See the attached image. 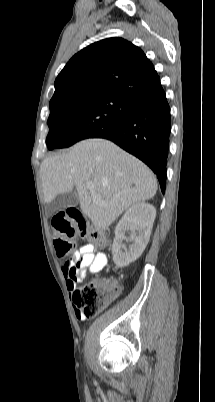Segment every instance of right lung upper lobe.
Returning <instances> with one entry per match:
<instances>
[{"instance_id":"right-lung-upper-lobe-1","label":"right lung upper lobe","mask_w":215,"mask_h":402,"mask_svg":"<svg viewBox=\"0 0 215 402\" xmlns=\"http://www.w3.org/2000/svg\"><path fill=\"white\" fill-rule=\"evenodd\" d=\"M144 52L122 38L93 43L75 54L55 80L51 99L112 94L135 101L162 91Z\"/></svg>"}]
</instances>
